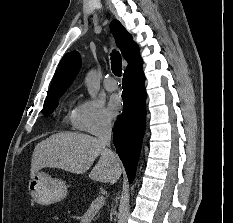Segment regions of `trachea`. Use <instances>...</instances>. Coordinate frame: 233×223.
I'll return each instance as SVG.
<instances>
[{"mask_svg":"<svg viewBox=\"0 0 233 223\" xmlns=\"http://www.w3.org/2000/svg\"><path fill=\"white\" fill-rule=\"evenodd\" d=\"M111 68L113 73L117 76L120 77L122 73V58L120 53L117 51H113L111 53Z\"/></svg>","mask_w":233,"mask_h":223,"instance_id":"obj_1","label":"trachea"}]
</instances>
